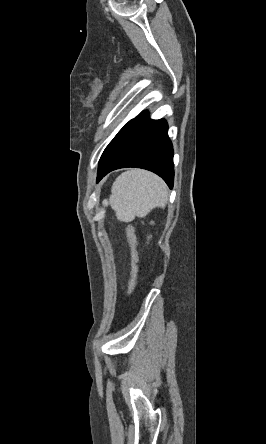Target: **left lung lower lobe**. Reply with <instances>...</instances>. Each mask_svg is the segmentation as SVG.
Listing matches in <instances>:
<instances>
[{
  "instance_id": "1",
  "label": "left lung lower lobe",
  "mask_w": 266,
  "mask_h": 444,
  "mask_svg": "<svg viewBox=\"0 0 266 444\" xmlns=\"http://www.w3.org/2000/svg\"><path fill=\"white\" fill-rule=\"evenodd\" d=\"M164 119L151 120L144 111L129 121L104 150L97 182L109 172L125 167L152 171L173 188V147Z\"/></svg>"
}]
</instances>
